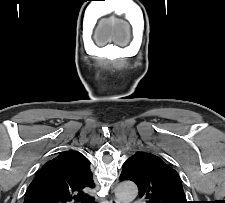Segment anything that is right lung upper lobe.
Segmentation results:
<instances>
[{"label": "right lung upper lobe", "instance_id": "cb5924a9", "mask_svg": "<svg viewBox=\"0 0 225 203\" xmlns=\"http://www.w3.org/2000/svg\"><path fill=\"white\" fill-rule=\"evenodd\" d=\"M90 161L80 152H62L43 165L30 183L24 203H67L86 197L84 190L93 188ZM92 203L93 198H88Z\"/></svg>", "mask_w": 225, "mask_h": 203}]
</instances>
